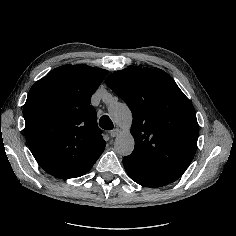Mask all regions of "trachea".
<instances>
[{
    "label": "trachea",
    "mask_w": 236,
    "mask_h": 236,
    "mask_svg": "<svg viewBox=\"0 0 236 236\" xmlns=\"http://www.w3.org/2000/svg\"><path fill=\"white\" fill-rule=\"evenodd\" d=\"M99 125L101 128L105 130H112L113 129V122L107 115H103L99 120Z\"/></svg>",
    "instance_id": "obj_1"
}]
</instances>
